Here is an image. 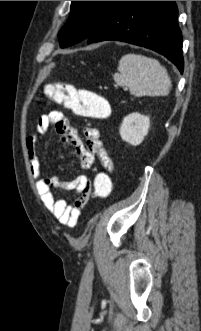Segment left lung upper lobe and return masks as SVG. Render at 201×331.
<instances>
[{"label": "left lung upper lobe", "mask_w": 201, "mask_h": 331, "mask_svg": "<svg viewBox=\"0 0 201 331\" xmlns=\"http://www.w3.org/2000/svg\"><path fill=\"white\" fill-rule=\"evenodd\" d=\"M120 1H72L67 23L59 32L60 45L67 47L87 39Z\"/></svg>", "instance_id": "1"}]
</instances>
